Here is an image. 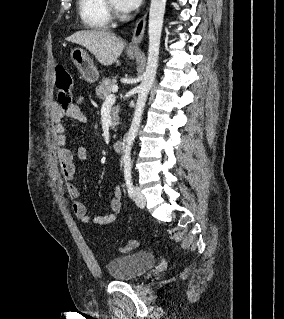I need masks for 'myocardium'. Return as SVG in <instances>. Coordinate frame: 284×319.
Returning <instances> with one entry per match:
<instances>
[{
  "mask_svg": "<svg viewBox=\"0 0 284 319\" xmlns=\"http://www.w3.org/2000/svg\"><path fill=\"white\" fill-rule=\"evenodd\" d=\"M105 2L111 18L120 20L125 17V14L112 3V0H105Z\"/></svg>",
  "mask_w": 284,
  "mask_h": 319,
  "instance_id": "myocardium-1",
  "label": "myocardium"
}]
</instances>
